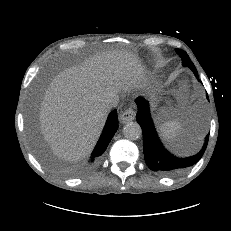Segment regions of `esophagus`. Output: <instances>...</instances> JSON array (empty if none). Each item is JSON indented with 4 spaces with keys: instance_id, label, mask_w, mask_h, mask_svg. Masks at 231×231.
<instances>
[{
    "instance_id": "34e87169",
    "label": "esophagus",
    "mask_w": 231,
    "mask_h": 231,
    "mask_svg": "<svg viewBox=\"0 0 231 231\" xmlns=\"http://www.w3.org/2000/svg\"><path fill=\"white\" fill-rule=\"evenodd\" d=\"M136 117V113L132 108H126L119 115V120L121 123H129L133 121Z\"/></svg>"
}]
</instances>
